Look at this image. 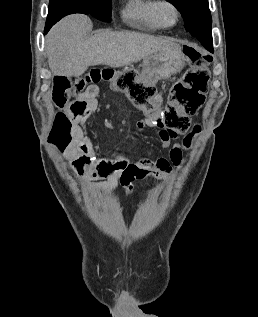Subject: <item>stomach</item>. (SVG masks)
Here are the masks:
<instances>
[{"label":"stomach","instance_id":"obj_1","mask_svg":"<svg viewBox=\"0 0 258 317\" xmlns=\"http://www.w3.org/2000/svg\"><path fill=\"white\" fill-rule=\"evenodd\" d=\"M186 56L183 52V46H176L171 50H159L152 52L149 56H145L142 62V72L147 74H158L162 78H167L175 72H179L185 66ZM133 68L132 64H129Z\"/></svg>","mask_w":258,"mask_h":317}]
</instances>
